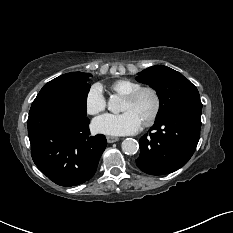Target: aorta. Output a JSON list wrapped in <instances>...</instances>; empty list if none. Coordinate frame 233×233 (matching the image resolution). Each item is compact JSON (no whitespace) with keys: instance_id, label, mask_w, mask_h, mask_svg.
<instances>
[{"instance_id":"obj_1","label":"aorta","mask_w":233,"mask_h":233,"mask_svg":"<svg viewBox=\"0 0 233 233\" xmlns=\"http://www.w3.org/2000/svg\"><path fill=\"white\" fill-rule=\"evenodd\" d=\"M108 109L113 113H118L120 111V99L113 96L108 101ZM122 150L125 154L132 155L136 154L139 149L138 142L133 138H127L122 142Z\"/></svg>"}]
</instances>
